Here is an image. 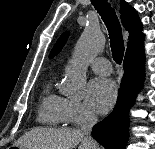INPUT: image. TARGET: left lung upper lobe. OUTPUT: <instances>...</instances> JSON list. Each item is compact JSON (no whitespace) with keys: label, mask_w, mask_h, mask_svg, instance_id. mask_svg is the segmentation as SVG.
<instances>
[{"label":"left lung upper lobe","mask_w":155,"mask_h":149,"mask_svg":"<svg viewBox=\"0 0 155 149\" xmlns=\"http://www.w3.org/2000/svg\"><path fill=\"white\" fill-rule=\"evenodd\" d=\"M69 37V32H64L60 38L57 40L56 44L54 45L50 55H49V58H53L55 55H57L61 49L64 47L67 39Z\"/></svg>","instance_id":"5c2ea615"}]
</instances>
